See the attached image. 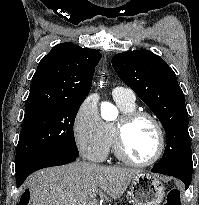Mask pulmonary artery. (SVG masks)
<instances>
[{"instance_id":"e3ab8cb5","label":"pulmonary artery","mask_w":199,"mask_h":205,"mask_svg":"<svg viewBox=\"0 0 199 205\" xmlns=\"http://www.w3.org/2000/svg\"><path fill=\"white\" fill-rule=\"evenodd\" d=\"M113 97L115 99H122L128 102L135 101L134 92L127 87H116L113 91Z\"/></svg>"}]
</instances>
